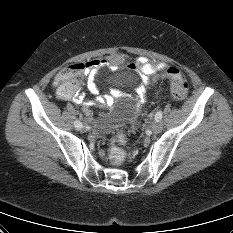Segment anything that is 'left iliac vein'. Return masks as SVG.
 Wrapping results in <instances>:
<instances>
[{
    "mask_svg": "<svg viewBox=\"0 0 233 233\" xmlns=\"http://www.w3.org/2000/svg\"><path fill=\"white\" fill-rule=\"evenodd\" d=\"M163 125L160 121H154L151 125V130L154 134L160 133Z\"/></svg>",
    "mask_w": 233,
    "mask_h": 233,
    "instance_id": "1",
    "label": "left iliac vein"
}]
</instances>
